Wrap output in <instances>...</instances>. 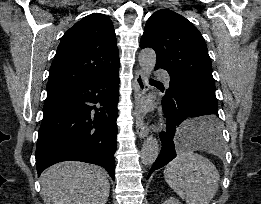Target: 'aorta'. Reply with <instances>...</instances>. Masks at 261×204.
<instances>
[{
  "label": "aorta",
  "instance_id": "aorta-1",
  "mask_svg": "<svg viewBox=\"0 0 261 204\" xmlns=\"http://www.w3.org/2000/svg\"><path fill=\"white\" fill-rule=\"evenodd\" d=\"M140 67L144 74L150 75L156 64V53L151 48L142 49L138 56ZM159 154V143L154 136H149L141 149V162L145 166L152 165Z\"/></svg>",
  "mask_w": 261,
  "mask_h": 204
}]
</instances>
